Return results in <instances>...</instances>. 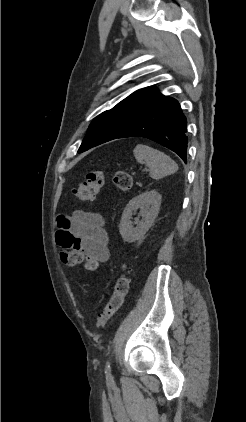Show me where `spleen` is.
Listing matches in <instances>:
<instances>
[{"mask_svg": "<svg viewBox=\"0 0 246 422\" xmlns=\"http://www.w3.org/2000/svg\"><path fill=\"white\" fill-rule=\"evenodd\" d=\"M133 154L138 163L145 164L149 167L150 176L153 179L163 178L178 170V165L173 159L164 152L147 145L138 144Z\"/></svg>", "mask_w": 246, "mask_h": 422, "instance_id": "3e777b00", "label": "spleen"}]
</instances>
